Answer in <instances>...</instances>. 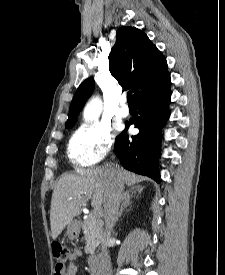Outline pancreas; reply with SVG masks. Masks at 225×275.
Segmentation results:
<instances>
[{
	"label": "pancreas",
	"instance_id": "1",
	"mask_svg": "<svg viewBox=\"0 0 225 275\" xmlns=\"http://www.w3.org/2000/svg\"><path fill=\"white\" fill-rule=\"evenodd\" d=\"M82 229L86 240L85 253L93 254L100 242V222L94 217H90L83 222Z\"/></svg>",
	"mask_w": 225,
	"mask_h": 275
}]
</instances>
